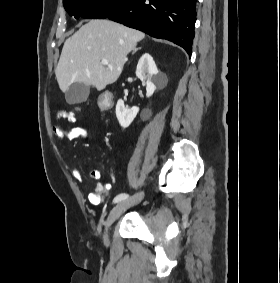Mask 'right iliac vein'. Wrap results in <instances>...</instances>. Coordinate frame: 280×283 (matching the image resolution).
I'll return each mask as SVG.
<instances>
[{"label":"right iliac vein","instance_id":"63e3f726","mask_svg":"<svg viewBox=\"0 0 280 283\" xmlns=\"http://www.w3.org/2000/svg\"><path fill=\"white\" fill-rule=\"evenodd\" d=\"M144 198V192H138L133 197L123 200L119 202L110 212L106 223H105V234H104V241L106 244L109 243L108 239V230L111 227V225L124 213L127 209L130 207H133L137 204H139L142 199Z\"/></svg>","mask_w":280,"mask_h":283}]
</instances>
